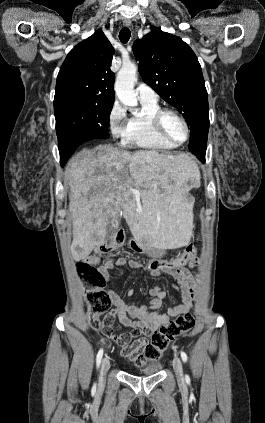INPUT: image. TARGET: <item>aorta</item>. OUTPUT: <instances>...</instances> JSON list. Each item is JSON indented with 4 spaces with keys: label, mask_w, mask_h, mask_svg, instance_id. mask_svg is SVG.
<instances>
[{
    "label": "aorta",
    "mask_w": 265,
    "mask_h": 423,
    "mask_svg": "<svg viewBox=\"0 0 265 423\" xmlns=\"http://www.w3.org/2000/svg\"><path fill=\"white\" fill-rule=\"evenodd\" d=\"M137 67L135 64H125L117 74L114 90L120 102L128 107L134 108V114L137 113V94L134 91V85L137 81Z\"/></svg>",
    "instance_id": "aorta-1"
}]
</instances>
